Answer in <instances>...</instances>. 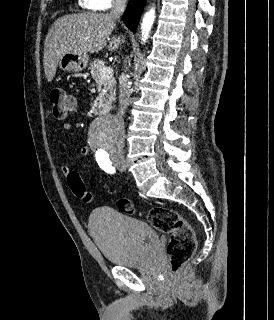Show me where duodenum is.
Returning a JSON list of instances; mask_svg holds the SVG:
<instances>
[{"label": "duodenum", "mask_w": 274, "mask_h": 320, "mask_svg": "<svg viewBox=\"0 0 274 320\" xmlns=\"http://www.w3.org/2000/svg\"><path fill=\"white\" fill-rule=\"evenodd\" d=\"M95 110H96L97 114L100 116L107 114V110L105 109V107L102 105V103L100 101L95 102Z\"/></svg>", "instance_id": "duodenum-1"}]
</instances>
